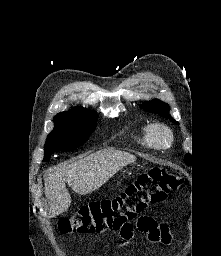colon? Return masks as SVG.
<instances>
[{
  "label": "colon",
  "instance_id": "obj_1",
  "mask_svg": "<svg viewBox=\"0 0 221 256\" xmlns=\"http://www.w3.org/2000/svg\"><path fill=\"white\" fill-rule=\"evenodd\" d=\"M182 184L180 176L164 168H151L116 197L83 205L70 216L62 218L58 229L62 234L124 230L150 205L163 202Z\"/></svg>",
  "mask_w": 221,
  "mask_h": 256
}]
</instances>
